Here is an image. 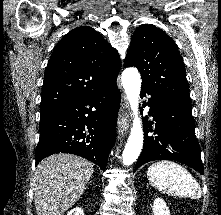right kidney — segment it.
<instances>
[{"instance_id": "1", "label": "right kidney", "mask_w": 221, "mask_h": 215, "mask_svg": "<svg viewBox=\"0 0 221 215\" xmlns=\"http://www.w3.org/2000/svg\"><path fill=\"white\" fill-rule=\"evenodd\" d=\"M67 215H84L82 208H73Z\"/></svg>"}]
</instances>
